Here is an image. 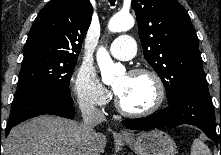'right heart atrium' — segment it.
<instances>
[{
    "instance_id": "1",
    "label": "right heart atrium",
    "mask_w": 221,
    "mask_h": 155,
    "mask_svg": "<svg viewBox=\"0 0 221 155\" xmlns=\"http://www.w3.org/2000/svg\"><path fill=\"white\" fill-rule=\"evenodd\" d=\"M71 89L82 105L102 108L106 106L111 94L102 84L96 72L88 66H80L71 78Z\"/></svg>"
}]
</instances>
